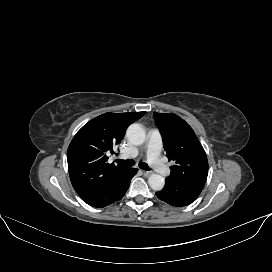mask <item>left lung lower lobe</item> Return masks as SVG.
<instances>
[{
    "label": "left lung lower lobe",
    "instance_id": "left-lung-lower-lobe-1",
    "mask_svg": "<svg viewBox=\"0 0 272 272\" xmlns=\"http://www.w3.org/2000/svg\"><path fill=\"white\" fill-rule=\"evenodd\" d=\"M204 187L203 183H169L156 192L157 197L173 206L181 207L194 202Z\"/></svg>",
    "mask_w": 272,
    "mask_h": 272
}]
</instances>
